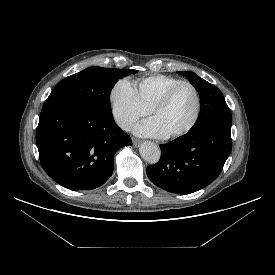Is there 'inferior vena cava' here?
<instances>
[{
  "label": "inferior vena cava",
  "instance_id": "602c4592",
  "mask_svg": "<svg viewBox=\"0 0 275 275\" xmlns=\"http://www.w3.org/2000/svg\"><path fill=\"white\" fill-rule=\"evenodd\" d=\"M118 124L122 129L126 131H128L132 126V122H130L129 120H121L118 122Z\"/></svg>",
  "mask_w": 275,
  "mask_h": 275
}]
</instances>
